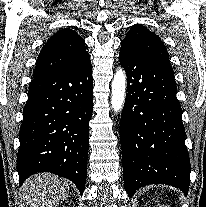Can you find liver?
<instances>
[{
	"instance_id": "1",
	"label": "liver",
	"mask_w": 206,
	"mask_h": 207,
	"mask_svg": "<svg viewBox=\"0 0 206 207\" xmlns=\"http://www.w3.org/2000/svg\"><path fill=\"white\" fill-rule=\"evenodd\" d=\"M68 181L50 173L28 178L22 193L27 207H58L69 194Z\"/></svg>"
}]
</instances>
